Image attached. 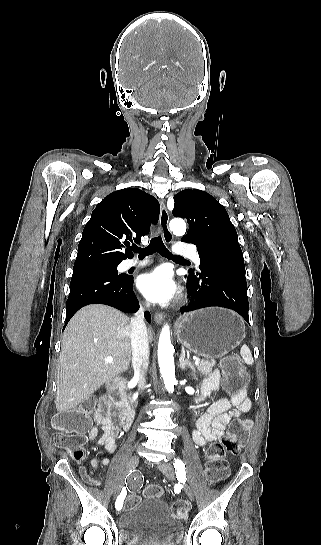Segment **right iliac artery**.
Masks as SVG:
<instances>
[{
  "label": "right iliac artery",
  "mask_w": 321,
  "mask_h": 545,
  "mask_svg": "<svg viewBox=\"0 0 321 545\" xmlns=\"http://www.w3.org/2000/svg\"><path fill=\"white\" fill-rule=\"evenodd\" d=\"M126 493H127L126 489L123 488L121 490L120 496L118 497V499H117V501L115 503V507H116L117 510H120L122 508V503H123V500H124V498L126 496Z\"/></svg>",
  "instance_id": "82829eb1"
}]
</instances>
